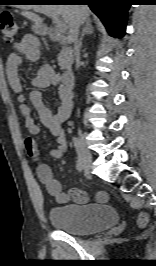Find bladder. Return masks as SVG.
<instances>
[{
	"instance_id": "obj_1",
	"label": "bladder",
	"mask_w": 156,
	"mask_h": 266,
	"mask_svg": "<svg viewBox=\"0 0 156 266\" xmlns=\"http://www.w3.org/2000/svg\"><path fill=\"white\" fill-rule=\"evenodd\" d=\"M51 224L73 235H88L103 231L118 222V214L109 205L68 204L49 211Z\"/></svg>"
}]
</instances>
